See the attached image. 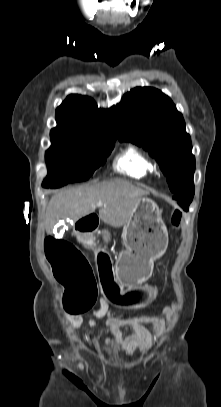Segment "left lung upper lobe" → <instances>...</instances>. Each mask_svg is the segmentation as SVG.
I'll use <instances>...</instances> for the list:
<instances>
[{"mask_svg":"<svg viewBox=\"0 0 221 407\" xmlns=\"http://www.w3.org/2000/svg\"><path fill=\"white\" fill-rule=\"evenodd\" d=\"M116 110L118 139L143 146L156 157L172 193L194 190L191 139L172 100L155 88L137 87Z\"/></svg>","mask_w":221,"mask_h":407,"instance_id":"1","label":"left lung upper lobe"}]
</instances>
